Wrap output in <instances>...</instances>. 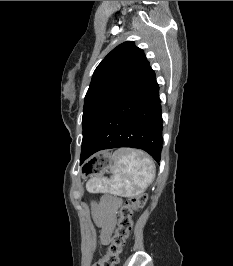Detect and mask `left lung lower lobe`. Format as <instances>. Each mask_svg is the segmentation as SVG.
<instances>
[{
	"instance_id": "0a47b994",
	"label": "left lung lower lobe",
	"mask_w": 233,
	"mask_h": 266,
	"mask_svg": "<svg viewBox=\"0 0 233 266\" xmlns=\"http://www.w3.org/2000/svg\"><path fill=\"white\" fill-rule=\"evenodd\" d=\"M162 129L159 86L148 62L103 115L82 147L80 163L99 150L118 147L145 150L159 163Z\"/></svg>"
}]
</instances>
